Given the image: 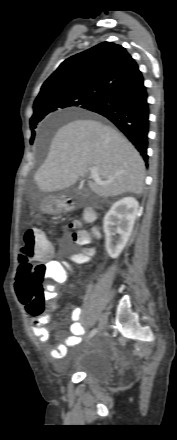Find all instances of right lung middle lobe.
Listing matches in <instances>:
<instances>
[{"label": "right lung middle lobe", "mask_w": 177, "mask_h": 440, "mask_svg": "<svg viewBox=\"0 0 177 440\" xmlns=\"http://www.w3.org/2000/svg\"><path fill=\"white\" fill-rule=\"evenodd\" d=\"M103 97L98 93H81V92H66L54 97L38 106H34V114L30 119V127L32 136L30 143L32 144L35 138L36 124L40 122L48 113L68 107H80L86 109L90 105L96 103Z\"/></svg>", "instance_id": "dd1d6c3e"}]
</instances>
